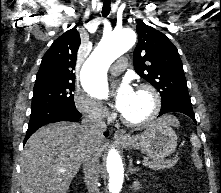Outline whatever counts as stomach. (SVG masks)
I'll return each mask as SVG.
<instances>
[{"label":"stomach","instance_id":"1","mask_svg":"<svg viewBox=\"0 0 221 193\" xmlns=\"http://www.w3.org/2000/svg\"><path fill=\"white\" fill-rule=\"evenodd\" d=\"M121 144L129 149L141 150L149 158L161 160L175 151L177 135L170 125L158 119L140 134L128 135Z\"/></svg>","mask_w":221,"mask_h":193}]
</instances>
